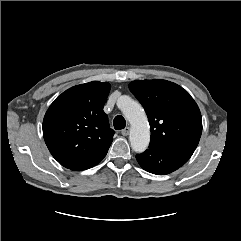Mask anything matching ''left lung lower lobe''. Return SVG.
<instances>
[{
    "instance_id": "obj_1",
    "label": "left lung lower lobe",
    "mask_w": 241,
    "mask_h": 241,
    "mask_svg": "<svg viewBox=\"0 0 241 241\" xmlns=\"http://www.w3.org/2000/svg\"><path fill=\"white\" fill-rule=\"evenodd\" d=\"M194 150L189 148L169 147L149 144V148L136 155L140 166L153 174H169L184 165Z\"/></svg>"
}]
</instances>
